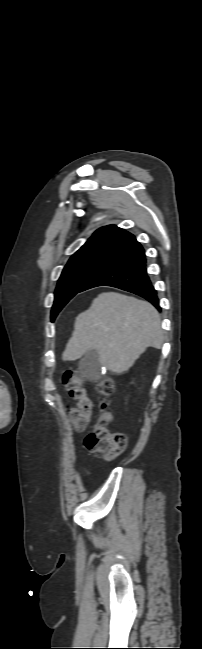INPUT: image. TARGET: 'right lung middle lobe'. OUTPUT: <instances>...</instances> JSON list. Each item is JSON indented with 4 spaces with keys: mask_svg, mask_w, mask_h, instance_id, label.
<instances>
[{
    "mask_svg": "<svg viewBox=\"0 0 202 649\" xmlns=\"http://www.w3.org/2000/svg\"><path fill=\"white\" fill-rule=\"evenodd\" d=\"M115 255L109 253H86L72 256L58 280L55 300L51 311L54 321L66 303L85 285V283Z\"/></svg>",
    "mask_w": 202,
    "mask_h": 649,
    "instance_id": "right-lung-middle-lobe-1",
    "label": "right lung middle lobe"
}]
</instances>
